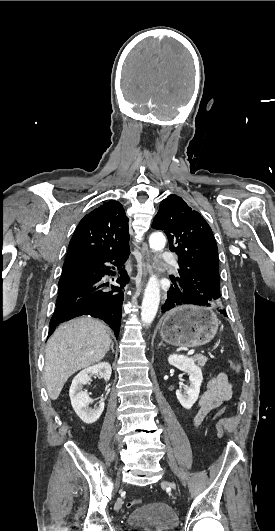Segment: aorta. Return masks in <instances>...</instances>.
Here are the masks:
<instances>
[{"label": "aorta", "mask_w": 275, "mask_h": 531, "mask_svg": "<svg viewBox=\"0 0 275 531\" xmlns=\"http://www.w3.org/2000/svg\"><path fill=\"white\" fill-rule=\"evenodd\" d=\"M149 245L152 251H162L166 245V239L164 235H160V233H152L149 239ZM159 303L160 289L158 279L155 275H151L144 291L141 309V321L146 327H149L152 321H154Z\"/></svg>", "instance_id": "obj_1"}]
</instances>
